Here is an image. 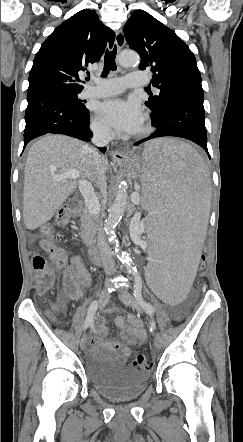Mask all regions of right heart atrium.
Segmentation results:
<instances>
[{"instance_id": "1", "label": "right heart atrium", "mask_w": 243, "mask_h": 442, "mask_svg": "<svg viewBox=\"0 0 243 442\" xmlns=\"http://www.w3.org/2000/svg\"><path fill=\"white\" fill-rule=\"evenodd\" d=\"M91 129L97 136L109 138L112 136L111 129L99 117H94L91 121Z\"/></svg>"}]
</instances>
